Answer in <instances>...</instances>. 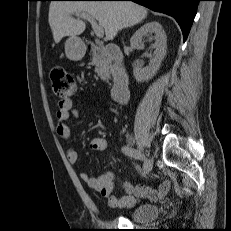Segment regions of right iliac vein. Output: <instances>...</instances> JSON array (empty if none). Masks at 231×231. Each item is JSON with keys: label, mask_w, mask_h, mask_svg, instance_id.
I'll return each mask as SVG.
<instances>
[{"label": "right iliac vein", "mask_w": 231, "mask_h": 231, "mask_svg": "<svg viewBox=\"0 0 231 231\" xmlns=\"http://www.w3.org/2000/svg\"><path fill=\"white\" fill-rule=\"evenodd\" d=\"M145 164L152 169V159H146Z\"/></svg>", "instance_id": "63e3f726"}]
</instances>
